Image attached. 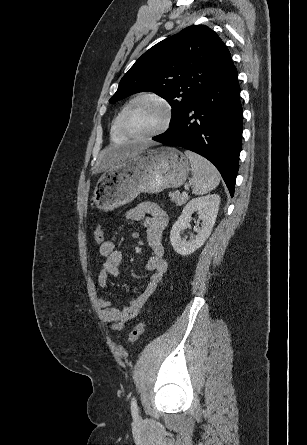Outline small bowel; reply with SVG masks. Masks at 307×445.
<instances>
[{
	"mask_svg": "<svg viewBox=\"0 0 307 445\" xmlns=\"http://www.w3.org/2000/svg\"><path fill=\"white\" fill-rule=\"evenodd\" d=\"M125 219L131 222H141L145 228L147 243L152 252L151 257L147 260L146 269L151 272V275L145 288L122 309L114 307L111 300L106 297L99 299V305L103 309V319L115 330L122 329L126 322L139 314L162 281L167 269L163 246L164 231L168 224L165 211L154 203H143L128 210L125 213ZM99 254L103 258V262L98 274V283L103 289H108L110 277L119 276L122 252L116 248L115 239L112 238L101 244Z\"/></svg>",
	"mask_w": 307,
	"mask_h": 445,
	"instance_id": "small-bowel-1",
	"label": "small bowel"
}]
</instances>
